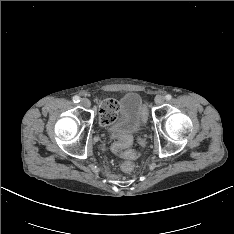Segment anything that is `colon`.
<instances>
[{
	"label": "colon",
	"mask_w": 234,
	"mask_h": 234,
	"mask_svg": "<svg viewBox=\"0 0 234 234\" xmlns=\"http://www.w3.org/2000/svg\"><path fill=\"white\" fill-rule=\"evenodd\" d=\"M148 102L144 103V106H147ZM144 113H147V110H144ZM118 114V103L116 100L108 98L101 102L100 106V123L103 126L112 124L117 119ZM139 127H142V124H139ZM139 128H136L135 135H138ZM113 134L115 135L116 141L112 145V151L122 157L127 159H135L138 156V153L130 148L132 144V136L121 130L120 128H114ZM122 170L125 172H131L134 168V165L131 161H125L122 164Z\"/></svg>",
	"instance_id": "5ec220e1"
}]
</instances>
